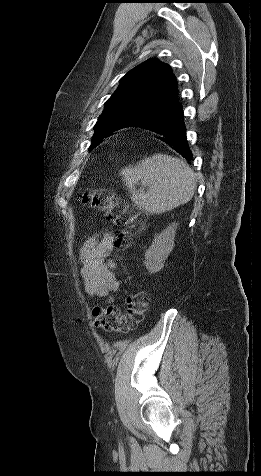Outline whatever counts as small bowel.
<instances>
[{
  "mask_svg": "<svg viewBox=\"0 0 261 476\" xmlns=\"http://www.w3.org/2000/svg\"><path fill=\"white\" fill-rule=\"evenodd\" d=\"M113 249V236L105 232L90 238L81 249V274L86 292L91 296L107 297L119 290L113 269L115 264L109 259Z\"/></svg>",
  "mask_w": 261,
  "mask_h": 476,
  "instance_id": "1",
  "label": "small bowel"
}]
</instances>
